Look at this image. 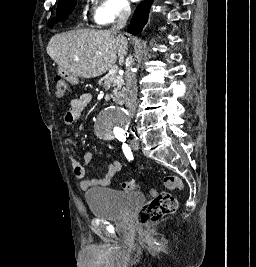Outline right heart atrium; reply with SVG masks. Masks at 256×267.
Wrapping results in <instances>:
<instances>
[{"mask_svg": "<svg viewBox=\"0 0 256 267\" xmlns=\"http://www.w3.org/2000/svg\"><path fill=\"white\" fill-rule=\"evenodd\" d=\"M123 17V13H118L115 16L108 17L102 15L99 11L93 15V21L99 28H105L112 25L118 18Z\"/></svg>", "mask_w": 256, "mask_h": 267, "instance_id": "d8ad5b80", "label": "right heart atrium"}]
</instances>
